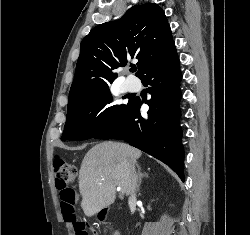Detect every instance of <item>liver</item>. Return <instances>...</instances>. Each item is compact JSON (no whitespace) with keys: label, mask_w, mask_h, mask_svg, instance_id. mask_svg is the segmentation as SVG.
Wrapping results in <instances>:
<instances>
[{"label":"liver","mask_w":250,"mask_h":235,"mask_svg":"<svg viewBox=\"0 0 250 235\" xmlns=\"http://www.w3.org/2000/svg\"><path fill=\"white\" fill-rule=\"evenodd\" d=\"M142 152L119 142H102L85 155L79 171V190L86 216H94L111 205L116 186L130 194V171Z\"/></svg>","instance_id":"1"}]
</instances>
